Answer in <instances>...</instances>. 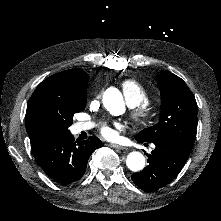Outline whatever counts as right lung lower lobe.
<instances>
[{"instance_id":"right-lung-lower-lobe-1","label":"right lung lower lobe","mask_w":221,"mask_h":221,"mask_svg":"<svg viewBox=\"0 0 221 221\" xmlns=\"http://www.w3.org/2000/svg\"><path fill=\"white\" fill-rule=\"evenodd\" d=\"M102 145L95 137L77 142L73 135L32 148L38 165L55 182L68 185L79 180L85 173L92 152Z\"/></svg>"}]
</instances>
